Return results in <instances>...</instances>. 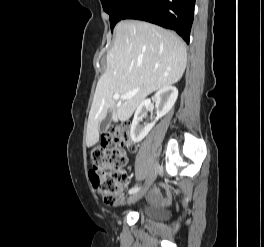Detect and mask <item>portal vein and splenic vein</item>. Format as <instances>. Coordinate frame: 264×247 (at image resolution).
Returning a JSON list of instances; mask_svg holds the SVG:
<instances>
[{
	"label": "portal vein and splenic vein",
	"instance_id": "18ae733b",
	"mask_svg": "<svg viewBox=\"0 0 264 247\" xmlns=\"http://www.w3.org/2000/svg\"><path fill=\"white\" fill-rule=\"evenodd\" d=\"M136 95V92H131V93H127V94H119V93H115L113 95V99L114 100H119V99H130L133 96Z\"/></svg>",
	"mask_w": 264,
	"mask_h": 247
}]
</instances>
